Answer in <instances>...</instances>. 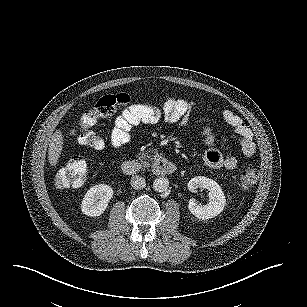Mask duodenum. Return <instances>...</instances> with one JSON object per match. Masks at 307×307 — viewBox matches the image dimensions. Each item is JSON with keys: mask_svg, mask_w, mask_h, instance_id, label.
<instances>
[{"mask_svg": "<svg viewBox=\"0 0 307 307\" xmlns=\"http://www.w3.org/2000/svg\"><path fill=\"white\" fill-rule=\"evenodd\" d=\"M122 171L128 176H134L139 171V165L136 161L127 160L122 163ZM176 171V166L171 161L163 157H158L154 159L151 172L154 175H170Z\"/></svg>", "mask_w": 307, "mask_h": 307, "instance_id": "obj_1", "label": "duodenum"}]
</instances>
